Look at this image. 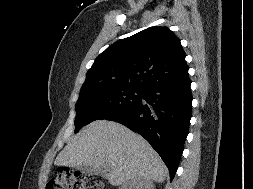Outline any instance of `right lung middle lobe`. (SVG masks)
<instances>
[{
    "label": "right lung middle lobe",
    "mask_w": 253,
    "mask_h": 189,
    "mask_svg": "<svg viewBox=\"0 0 253 189\" xmlns=\"http://www.w3.org/2000/svg\"><path fill=\"white\" fill-rule=\"evenodd\" d=\"M144 91L125 86H107L80 93L76 104L75 132L99 119L121 113L134 107Z\"/></svg>",
    "instance_id": "obj_1"
}]
</instances>
